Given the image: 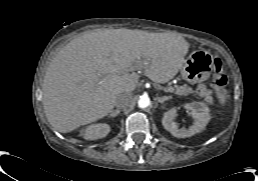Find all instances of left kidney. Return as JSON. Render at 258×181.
<instances>
[{"instance_id":"left-kidney-1","label":"left kidney","mask_w":258,"mask_h":181,"mask_svg":"<svg viewBox=\"0 0 258 181\" xmlns=\"http://www.w3.org/2000/svg\"><path fill=\"white\" fill-rule=\"evenodd\" d=\"M186 110L191 111L194 119V124L189 129H179L173 121L177 114L178 108H172L164 113L162 118V125L173 136L178 138H185L201 132L210 120L209 109L204 103L193 102L184 106Z\"/></svg>"}]
</instances>
